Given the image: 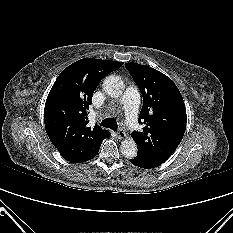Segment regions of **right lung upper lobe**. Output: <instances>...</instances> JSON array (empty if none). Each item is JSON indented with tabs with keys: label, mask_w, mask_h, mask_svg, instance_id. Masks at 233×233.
<instances>
[{
	"label": "right lung upper lobe",
	"mask_w": 233,
	"mask_h": 233,
	"mask_svg": "<svg viewBox=\"0 0 233 233\" xmlns=\"http://www.w3.org/2000/svg\"><path fill=\"white\" fill-rule=\"evenodd\" d=\"M122 62L84 58L65 68L51 88L44 109L46 132L61 156L70 162L92 158L108 131L88 127L86 110L102 78Z\"/></svg>",
	"instance_id": "obj_1"
}]
</instances>
